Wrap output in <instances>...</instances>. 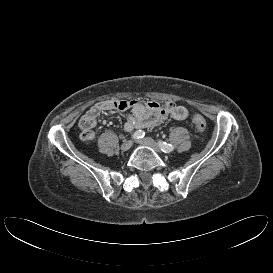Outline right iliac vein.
Masks as SVG:
<instances>
[{
	"label": "right iliac vein",
	"mask_w": 273,
	"mask_h": 273,
	"mask_svg": "<svg viewBox=\"0 0 273 273\" xmlns=\"http://www.w3.org/2000/svg\"><path fill=\"white\" fill-rule=\"evenodd\" d=\"M133 145V142L128 140L122 143L121 145V150L122 151H128Z\"/></svg>",
	"instance_id": "obj_1"
}]
</instances>
